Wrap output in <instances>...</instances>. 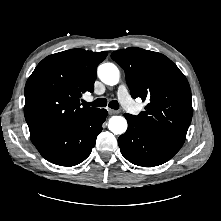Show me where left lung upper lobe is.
Segmentation results:
<instances>
[{
	"mask_svg": "<svg viewBox=\"0 0 221 221\" xmlns=\"http://www.w3.org/2000/svg\"><path fill=\"white\" fill-rule=\"evenodd\" d=\"M111 57L124 69L131 96L149 100L135 116L140 123L158 137L184 144L193 109L189 83L179 68L165 55L137 47Z\"/></svg>",
	"mask_w": 221,
	"mask_h": 221,
	"instance_id": "obj_1",
	"label": "left lung upper lobe"
}]
</instances>
